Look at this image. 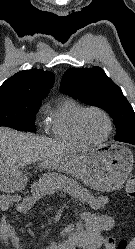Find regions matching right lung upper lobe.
I'll list each match as a JSON object with an SVG mask.
<instances>
[{
    "mask_svg": "<svg viewBox=\"0 0 135 249\" xmlns=\"http://www.w3.org/2000/svg\"><path fill=\"white\" fill-rule=\"evenodd\" d=\"M54 84V74L42 69L23 70L0 86V95L17 96L41 101Z\"/></svg>",
    "mask_w": 135,
    "mask_h": 249,
    "instance_id": "1",
    "label": "right lung upper lobe"
}]
</instances>
